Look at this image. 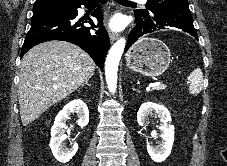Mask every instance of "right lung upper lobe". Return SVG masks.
Masks as SVG:
<instances>
[{
  "label": "right lung upper lobe",
  "instance_id": "right-lung-upper-lobe-1",
  "mask_svg": "<svg viewBox=\"0 0 227 166\" xmlns=\"http://www.w3.org/2000/svg\"><path fill=\"white\" fill-rule=\"evenodd\" d=\"M86 0H36L35 5H48V4H56V5H74Z\"/></svg>",
  "mask_w": 227,
  "mask_h": 166
}]
</instances>
